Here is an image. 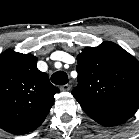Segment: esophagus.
I'll use <instances>...</instances> for the list:
<instances>
[{
	"label": "esophagus",
	"mask_w": 139,
	"mask_h": 139,
	"mask_svg": "<svg viewBox=\"0 0 139 139\" xmlns=\"http://www.w3.org/2000/svg\"><path fill=\"white\" fill-rule=\"evenodd\" d=\"M70 88H71V86H70L69 84H65V85H62V86L60 87V90H61V91H69Z\"/></svg>",
	"instance_id": "34e87169"
}]
</instances>
